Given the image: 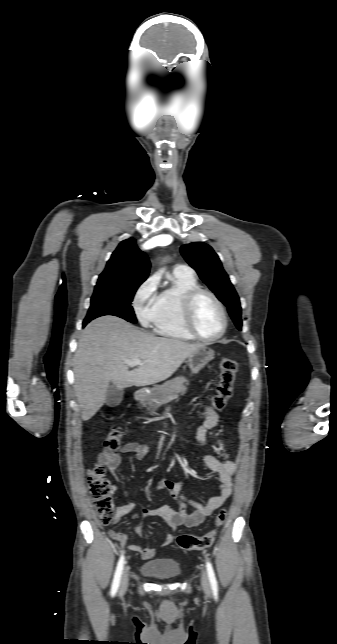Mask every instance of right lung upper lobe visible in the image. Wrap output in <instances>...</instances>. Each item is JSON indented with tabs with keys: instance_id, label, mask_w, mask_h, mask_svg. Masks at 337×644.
I'll return each mask as SVG.
<instances>
[{
	"instance_id": "obj_1",
	"label": "right lung upper lobe",
	"mask_w": 337,
	"mask_h": 644,
	"mask_svg": "<svg viewBox=\"0 0 337 644\" xmlns=\"http://www.w3.org/2000/svg\"><path fill=\"white\" fill-rule=\"evenodd\" d=\"M150 271V262L140 251L134 238L122 241L100 274L97 285H120L144 282Z\"/></svg>"
}]
</instances>
